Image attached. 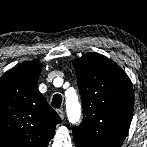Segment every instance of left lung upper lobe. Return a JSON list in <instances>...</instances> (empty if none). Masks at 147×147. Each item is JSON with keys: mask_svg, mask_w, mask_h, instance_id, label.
<instances>
[{"mask_svg": "<svg viewBox=\"0 0 147 147\" xmlns=\"http://www.w3.org/2000/svg\"><path fill=\"white\" fill-rule=\"evenodd\" d=\"M83 101L84 118L74 128L77 147H120L134 107L132 83L113 61L87 53L73 62Z\"/></svg>", "mask_w": 147, "mask_h": 147, "instance_id": "5c2ea615", "label": "left lung upper lobe"}]
</instances>
